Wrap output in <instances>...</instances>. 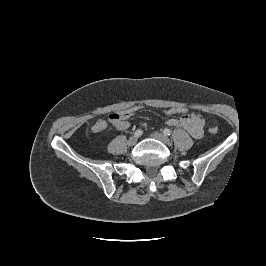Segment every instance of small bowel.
Returning a JSON list of instances; mask_svg holds the SVG:
<instances>
[{
  "instance_id": "obj_1",
  "label": "small bowel",
  "mask_w": 266,
  "mask_h": 266,
  "mask_svg": "<svg viewBox=\"0 0 266 266\" xmlns=\"http://www.w3.org/2000/svg\"><path fill=\"white\" fill-rule=\"evenodd\" d=\"M167 123L173 127L184 128L195 139H199L203 136L204 121L197 113L186 114L181 118H170ZM129 126V122L127 120H122L115 124V127L119 130H126ZM106 128L107 122L103 119H99L93 124L91 130L94 133H99Z\"/></svg>"
}]
</instances>
